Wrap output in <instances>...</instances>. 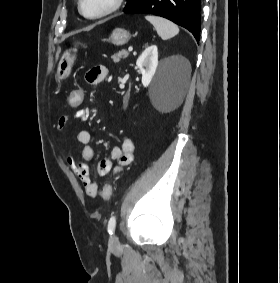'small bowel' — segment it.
I'll list each match as a JSON object with an SVG mask.
<instances>
[{
  "mask_svg": "<svg viewBox=\"0 0 280 283\" xmlns=\"http://www.w3.org/2000/svg\"><path fill=\"white\" fill-rule=\"evenodd\" d=\"M108 71L105 67H96L89 71L86 75L87 82L92 86L101 85ZM74 90V89H73ZM75 118L80 121H85L90 117V111L87 108H76ZM70 118L63 116L58 121V129L63 130L69 123ZM77 140L83 145L82 158L83 161L77 160L72 156L66 157V163L71 170L81 180L85 193L89 197H95L98 193V185L91 179L90 170L86 161L94 158L95 152L91 147V135L87 130H81L77 133ZM134 145L129 138H125L121 146H114L108 158H104L97 163V173L103 177H114L119 173L124 166L129 165L133 161Z\"/></svg>",
  "mask_w": 280,
  "mask_h": 283,
  "instance_id": "1",
  "label": "small bowel"
}]
</instances>
